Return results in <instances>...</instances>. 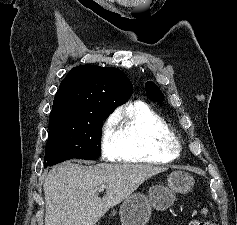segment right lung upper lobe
<instances>
[{
	"mask_svg": "<svg viewBox=\"0 0 237 225\" xmlns=\"http://www.w3.org/2000/svg\"><path fill=\"white\" fill-rule=\"evenodd\" d=\"M133 86L117 68L81 65L71 69L54 97L52 118L90 120L125 103Z\"/></svg>",
	"mask_w": 237,
	"mask_h": 225,
	"instance_id": "obj_1",
	"label": "right lung upper lobe"
}]
</instances>
